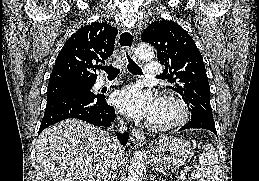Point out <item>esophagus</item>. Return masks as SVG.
<instances>
[{"label":"esophagus","instance_id":"esophagus-1","mask_svg":"<svg viewBox=\"0 0 259 181\" xmlns=\"http://www.w3.org/2000/svg\"><path fill=\"white\" fill-rule=\"evenodd\" d=\"M135 35L130 29H123L118 36V45L122 51L132 52L134 48ZM130 139L135 145H142L145 142L144 133L132 129L130 132Z\"/></svg>","mask_w":259,"mask_h":181}]
</instances>
